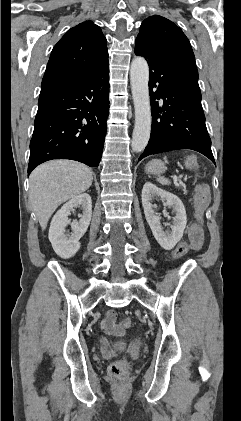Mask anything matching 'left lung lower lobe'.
<instances>
[{
    "label": "left lung lower lobe",
    "instance_id": "obj_1",
    "mask_svg": "<svg viewBox=\"0 0 241 421\" xmlns=\"http://www.w3.org/2000/svg\"><path fill=\"white\" fill-rule=\"evenodd\" d=\"M135 54L145 57L149 65L152 113L150 140L138 161L152 154L192 149L215 163L195 62L183 56L158 53L139 41ZM157 99H163L161 106Z\"/></svg>",
    "mask_w": 241,
    "mask_h": 421
}]
</instances>
